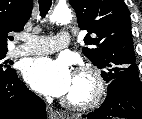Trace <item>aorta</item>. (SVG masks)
<instances>
[{"mask_svg": "<svg viewBox=\"0 0 142 119\" xmlns=\"http://www.w3.org/2000/svg\"><path fill=\"white\" fill-rule=\"evenodd\" d=\"M72 19L71 10L68 7H56L49 16L51 23H67Z\"/></svg>", "mask_w": 142, "mask_h": 119, "instance_id": "1", "label": "aorta"}]
</instances>
